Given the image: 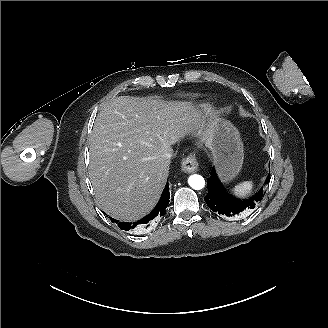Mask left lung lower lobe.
<instances>
[{
	"label": "left lung lower lobe",
	"mask_w": 328,
	"mask_h": 328,
	"mask_svg": "<svg viewBox=\"0 0 328 328\" xmlns=\"http://www.w3.org/2000/svg\"><path fill=\"white\" fill-rule=\"evenodd\" d=\"M270 175L266 179V183L269 181ZM208 194L204 200L208 207L218 214L227 217H236L238 215H244L255 208L257 202H259L263 196L264 190H261L249 199H239L233 196H229L222 184L220 183L215 169L211 171V177L207 179Z\"/></svg>",
	"instance_id": "0a47b994"
}]
</instances>
